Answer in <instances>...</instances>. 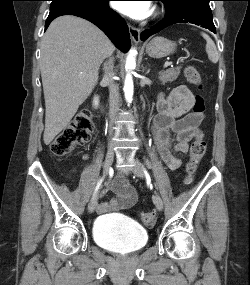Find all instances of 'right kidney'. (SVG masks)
<instances>
[{
	"mask_svg": "<svg viewBox=\"0 0 250 285\" xmlns=\"http://www.w3.org/2000/svg\"><path fill=\"white\" fill-rule=\"evenodd\" d=\"M93 106H94V108H97L99 106V97L98 96H95L93 98Z\"/></svg>",
	"mask_w": 250,
	"mask_h": 285,
	"instance_id": "ca27d5eb",
	"label": "right kidney"
}]
</instances>
